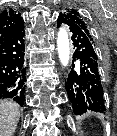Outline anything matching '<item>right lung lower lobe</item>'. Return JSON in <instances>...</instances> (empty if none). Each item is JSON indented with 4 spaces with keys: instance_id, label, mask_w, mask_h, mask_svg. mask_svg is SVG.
<instances>
[{
    "instance_id": "1",
    "label": "right lung lower lobe",
    "mask_w": 117,
    "mask_h": 136,
    "mask_svg": "<svg viewBox=\"0 0 117 136\" xmlns=\"http://www.w3.org/2000/svg\"><path fill=\"white\" fill-rule=\"evenodd\" d=\"M24 21L0 43V99L25 102L26 67L24 64Z\"/></svg>"
}]
</instances>
